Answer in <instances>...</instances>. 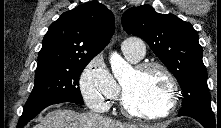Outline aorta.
<instances>
[{
    "label": "aorta",
    "mask_w": 221,
    "mask_h": 128,
    "mask_svg": "<svg viewBox=\"0 0 221 128\" xmlns=\"http://www.w3.org/2000/svg\"><path fill=\"white\" fill-rule=\"evenodd\" d=\"M111 69L116 79H121L126 73H128L132 67L125 61L117 52H113L109 58Z\"/></svg>",
    "instance_id": "762f6f07"
}]
</instances>
